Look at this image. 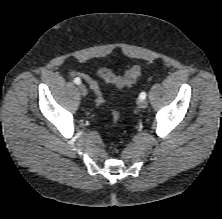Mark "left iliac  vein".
Listing matches in <instances>:
<instances>
[{
  "instance_id": "left-iliac-vein-1",
  "label": "left iliac vein",
  "mask_w": 222,
  "mask_h": 219,
  "mask_svg": "<svg viewBox=\"0 0 222 219\" xmlns=\"http://www.w3.org/2000/svg\"><path fill=\"white\" fill-rule=\"evenodd\" d=\"M137 105L139 108L144 109L148 106V102L145 99H139Z\"/></svg>"
}]
</instances>
